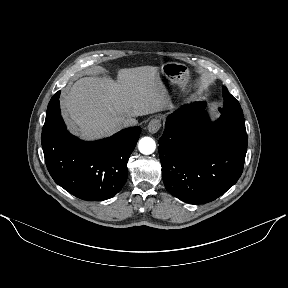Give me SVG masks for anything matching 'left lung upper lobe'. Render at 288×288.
Instances as JSON below:
<instances>
[{
  "label": "left lung upper lobe",
  "mask_w": 288,
  "mask_h": 288,
  "mask_svg": "<svg viewBox=\"0 0 288 288\" xmlns=\"http://www.w3.org/2000/svg\"><path fill=\"white\" fill-rule=\"evenodd\" d=\"M223 99L224 106L223 108H219V111L240 120H244L243 111L239 102L228 92L226 87H223Z\"/></svg>",
  "instance_id": "5c2ea615"
}]
</instances>
